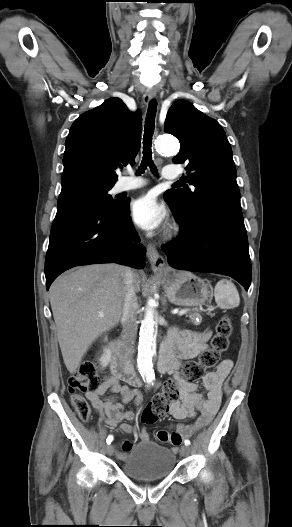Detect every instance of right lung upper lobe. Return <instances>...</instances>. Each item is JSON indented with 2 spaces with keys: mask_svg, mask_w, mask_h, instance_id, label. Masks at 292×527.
I'll list each match as a JSON object with an SVG mask.
<instances>
[{
  "mask_svg": "<svg viewBox=\"0 0 292 527\" xmlns=\"http://www.w3.org/2000/svg\"><path fill=\"white\" fill-rule=\"evenodd\" d=\"M141 120L140 112H130L120 98L80 115L65 142L62 182L85 177L114 185L117 167L135 164Z\"/></svg>",
  "mask_w": 292,
  "mask_h": 527,
  "instance_id": "1",
  "label": "right lung upper lobe"
}]
</instances>
